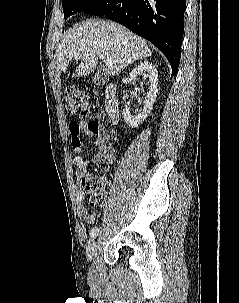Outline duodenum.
<instances>
[{"instance_id":"obj_1","label":"duodenum","mask_w":239,"mask_h":303,"mask_svg":"<svg viewBox=\"0 0 239 303\" xmlns=\"http://www.w3.org/2000/svg\"><path fill=\"white\" fill-rule=\"evenodd\" d=\"M116 92V86L114 84H109L106 88L104 96L106 111L113 121H116L119 117L118 99Z\"/></svg>"}]
</instances>
